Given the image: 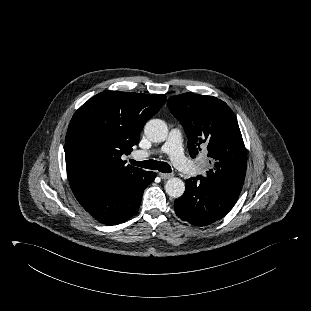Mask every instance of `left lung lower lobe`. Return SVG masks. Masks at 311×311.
<instances>
[{"label": "left lung lower lobe", "instance_id": "1", "mask_svg": "<svg viewBox=\"0 0 311 311\" xmlns=\"http://www.w3.org/2000/svg\"><path fill=\"white\" fill-rule=\"evenodd\" d=\"M238 199L203 176L186 180L184 194L175 200L177 216L196 226H205L224 217Z\"/></svg>", "mask_w": 311, "mask_h": 311}]
</instances>
